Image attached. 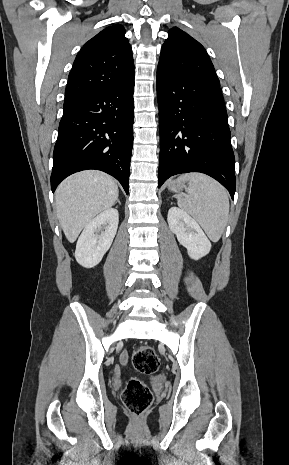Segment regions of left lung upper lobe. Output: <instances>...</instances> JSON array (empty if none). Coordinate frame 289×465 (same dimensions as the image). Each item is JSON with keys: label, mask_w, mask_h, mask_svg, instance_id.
Returning <instances> with one entry per match:
<instances>
[{"label": "left lung upper lobe", "mask_w": 289, "mask_h": 465, "mask_svg": "<svg viewBox=\"0 0 289 465\" xmlns=\"http://www.w3.org/2000/svg\"><path fill=\"white\" fill-rule=\"evenodd\" d=\"M157 72L168 78L192 79L220 86L214 66L204 47L177 27L168 32Z\"/></svg>", "instance_id": "1"}]
</instances>
